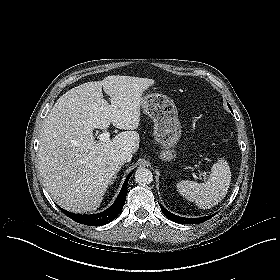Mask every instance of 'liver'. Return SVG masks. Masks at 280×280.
<instances>
[{
    "label": "liver",
    "mask_w": 280,
    "mask_h": 280,
    "mask_svg": "<svg viewBox=\"0 0 280 280\" xmlns=\"http://www.w3.org/2000/svg\"><path fill=\"white\" fill-rule=\"evenodd\" d=\"M154 83L148 78L107 76L74 87L56 101L42 124L38 169L58 205L77 213L100 206L121 164L120 154L139 148L135 130L142 94ZM110 124L125 131L108 142L96 141L93 130H105Z\"/></svg>",
    "instance_id": "liver-1"
}]
</instances>
